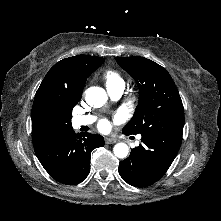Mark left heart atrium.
Here are the masks:
<instances>
[{
  "label": "left heart atrium",
  "instance_id": "obj_1",
  "mask_svg": "<svg viewBox=\"0 0 221 221\" xmlns=\"http://www.w3.org/2000/svg\"><path fill=\"white\" fill-rule=\"evenodd\" d=\"M110 127V124H109V121L107 119H102L100 122H99V129L100 130H108Z\"/></svg>",
  "mask_w": 221,
  "mask_h": 221
}]
</instances>
